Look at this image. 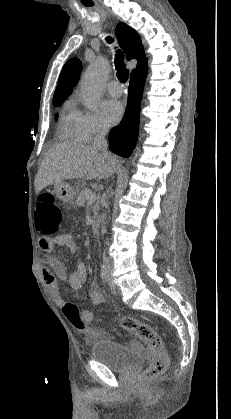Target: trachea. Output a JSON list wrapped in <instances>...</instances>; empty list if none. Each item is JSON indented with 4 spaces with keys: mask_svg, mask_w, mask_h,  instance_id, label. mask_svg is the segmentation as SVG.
I'll list each match as a JSON object with an SVG mask.
<instances>
[{
    "mask_svg": "<svg viewBox=\"0 0 231 419\" xmlns=\"http://www.w3.org/2000/svg\"><path fill=\"white\" fill-rule=\"evenodd\" d=\"M106 39L108 43L113 42V39L110 37H107ZM123 60H124L123 52H121L120 50H117V53L115 55V60H114L115 67L117 70V77L122 83H125L129 77V71L128 69H126V66Z\"/></svg>",
    "mask_w": 231,
    "mask_h": 419,
    "instance_id": "obj_1",
    "label": "trachea"
}]
</instances>
